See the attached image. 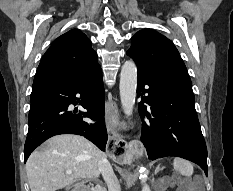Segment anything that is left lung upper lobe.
<instances>
[{
	"mask_svg": "<svg viewBox=\"0 0 233 191\" xmlns=\"http://www.w3.org/2000/svg\"><path fill=\"white\" fill-rule=\"evenodd\" d=\"M127 51L138 69L175 80L192 88L186 66L173 43L160 33L144 29L132 38Z\"/></svg>",
	"mask_w": 233,
	"mask_h": 191,
	"instance_id": "obj_1",
	"label": "left lung upper lobe"
}]
</instances>
